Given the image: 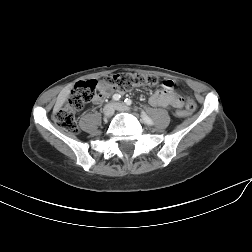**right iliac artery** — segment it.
<instances>
[{
  "instance_id": "1",
  "label": "right iliac artery",
  "mask_w": 252,
  "mask_h": 252,
  "mask_svg": "<svg viewBox=\"0 0 252 252\" xmlns=\"http://www.w3.org/2000/svg\"><path fill=\"white\" fill-rule=\"evenodd\" d=\"M120 97L121 96L119 94H114L112 98H113V100L118 101L120 99Z\"/></svg>"
}]
</instances>
